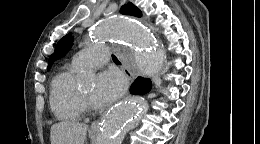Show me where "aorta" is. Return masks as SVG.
<instances>
[{
	"instance_id": "aorta-1",
	"label": "aorta",
	"mask_w": 260,
	"mask_h": 144,
	"mask_svg": "<svg viewBox=\"0 0 260 144\" xmlns=\"http://www.w3.org/2000/svg\"><path fill=\"white\" fill-rule=\"evenodd\" d=\"M98 42L113 40L124 43L127 50L119 54L127 65L145 75H155L161 67L163 48L149 29L131 17L104 19L93 31ZM144 57H136L135 52ZM83 77L93 81L94 73L85 72ZM147 102L143 97H130L114 106L105 116L97 134L95 144H122L126 134L135 128L146 114Z\"/></svg>"
}]
</instances>
